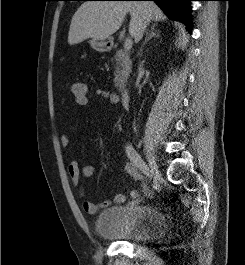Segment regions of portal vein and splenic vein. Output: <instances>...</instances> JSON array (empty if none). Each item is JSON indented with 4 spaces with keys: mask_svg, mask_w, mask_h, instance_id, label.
I'll return each mask as SVG.
<instances>
[{
    "mask_svg": "<svg viewBox=\"0 0 245 265\" xmlns=\"http://www.w3.org/2000/svg\"><path fill=\"white\" fill-rule=\"evenodd\" d=\"M132 39L127 38L124 43V49L125 51H130L132 49Z\"/></svg>",
    "mask_w": 245,
    "mask_h": 265,
    "instance_id": "obj_1",
    "label": "portal vein and splenic vein"
}]
</instances>
